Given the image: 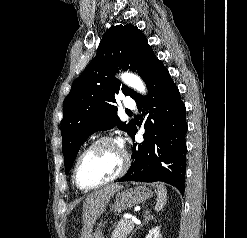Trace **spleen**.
<instances>
[{"label": "spleen", "mask_w": 247, "mask_h": 238, "mask_svg": "<svg viewBox=\"0 0 247 238\" xmlns=\"http://www.w3.org/2000/svg\"><path fill=\"white\" fill-rule=\"evenodd\" d=\"M166 200H167L166 188L162 184L157 185V203L155 206V210L160 211L164 207Z\"/></svg>", "instance_id": "obj_1"}]
</instances>
